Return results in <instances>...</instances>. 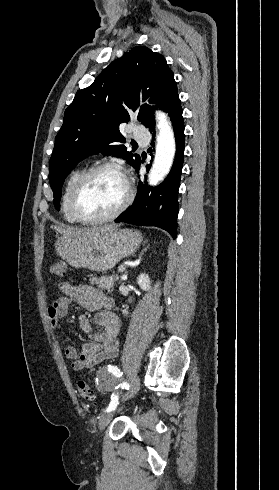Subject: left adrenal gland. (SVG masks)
Here are the masks:
<instances>
[{
  "label": "left adrenal gland",
  "mask_w": 279,
  "mask_h": 490,
  "mask_svg": "<svg viewBox=\"0 0 279 490\" xmlns=\"http://www.w3.org/2000/svg\"><path fill=\"white\" fill-rule=\"evenodd\" d=\"M150 244H148L147 248H149ZM147 248H144V250H142V252H140L139 254V260H141V256H143L144 252H147Z\"/></svg>",
  "instance_id": "a2214340"
}]
</instances>
